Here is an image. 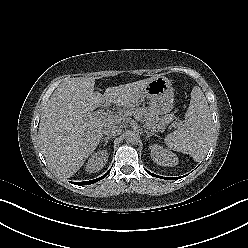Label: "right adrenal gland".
<instances>
[{"instance_id":"1","label":"right adrenal gland","mask_w":248,"mask_h":248,"mask_svg":"<svg viewBox=\"0 0 248 248\" xmlns=\"http://www.w3.org/2000/svg\"><path fill=\"white\" fill-rule=\"evenodd\" d=\"M111 138L112 137H109V136L105 137V138H102L100 143L104 142L103 146L105 147Z\"/></svg>"}]
</instances>
